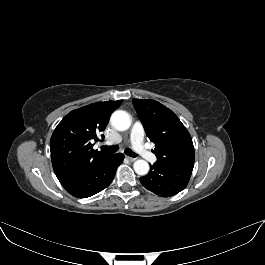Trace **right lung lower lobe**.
<instances>
[{
  "instance_id": "right-lung-lower-lobe-1",
  "label": "right lung lower lobe",
  "mask_w": 265,
  "mask_h": 265,
  "mask_svg": "<svg viewBox=\"0 0 265 265\" xmlns=\"http://www.w3.org/2000/svg\"><path fill=\"white\" fill-rule=\"evenodd\" d=\"M123 154L105 155L80 172L60 180L73 196L87 198L102 191L112 182L117 167L123 162Z\"/></svg>"
}]
</instances>
